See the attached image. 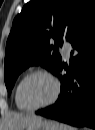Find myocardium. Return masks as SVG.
<instances>
[{"mask_svg": "<svg viewBox=\"0 0 95 130\" xmlns=\"http://www.w3.org/2000/svg\"><path fill=\"white\" fill-rule=\"evenodd\" d=\"M34 75H44L46 77H48L54 84V93L53 96L51 97V99L49 101H47L44 104H41L39 106H30L28 104H26L22 98V88L23 85L25 84V82L32 76ZM60 94V82L57 79V77L52 74L51 72L44 70V69H36L31 71L30 73H28L26 76H24L22 78V80L20 81L19 85H18V89H17V100L19 102V104L25 109V110H29V111H36L39 109H42L44 107H47L49 105H52L58 98Z\"/></svg>", "mask_w": 95, "mask_h": 130, "instance_id": "1", "label": "myocardium"}]
</instances>
